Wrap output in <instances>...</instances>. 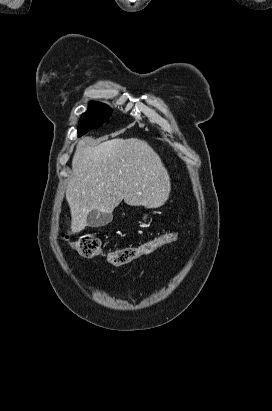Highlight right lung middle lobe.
<instances>
[{"label":"right lung middle lobe","mask_w":272,"mask_h":411,"mask_svg":"<svg viewBox=\"0 0 272 411\" xmlns=\"http://www.w3.org/2000/svg\"><path fill=\"white\" fill-rule=\"evenodd\" d=\"M111 113L112 110L109 106L99 102H90L88 111L81 115L78 136L84 135L91 129L100 127L108 120Z\"/></svg>","instance_id":"dd1d6c3e"}]
</instances>
